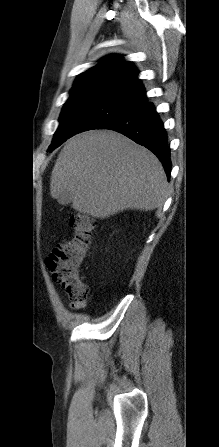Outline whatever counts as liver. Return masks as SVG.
<instances>
[{"label":"liver","mask_w":219,"mask_h":447,"mask_svg":"<svg viewBox=\"0 0 219 447\" xmlns=\"http://www.w3.org/2000/svg\"><path fill=\"white\" fill-rule=\"evenodd\" d=\"M52 198L96 218L126 209L160 208L168 182L157 157L113 131H88L70 138L51 174Z\"/></svg>","instance_id":"1"}]
</instances>
